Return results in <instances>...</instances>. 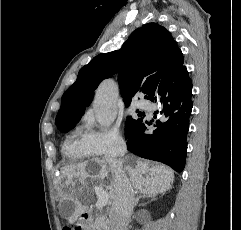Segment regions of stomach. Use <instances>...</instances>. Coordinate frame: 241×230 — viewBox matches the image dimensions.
Returning <instances> with one entry per match:
<instances>
[{"label": "stomach", "mask_w": 241, "mask_h": 230, "mask_svg": "<svg viewBox=\"0 0 241 230\" xmlns=\"http://www.w3.org/2000/svg\"><path fill=\"white\" fill-rule=\"evenodd\" d=\"M77 229L78 230H90V226L88 225L87 222L83 221V220H79L77 222Z\"/></svg>", "instance_id": "obj_1"}]
</instances>
